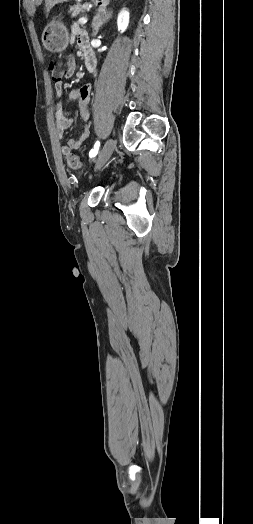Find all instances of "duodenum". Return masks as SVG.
I'll list each match as a JSON object with an SVG mask.
<instances>
[{"instance_id": "obj_1", "label": "duodenum", "mask_w": 253, "mask_h": 524, "mask_svg": "<svg viewBox=\"0 0 253 524\" xmlns=\"http://www.w3.org/2000/svg\"><path fill=\"white\" fill-rule=\"evenodd\" d=\"M88 69H89V70H90L91 72H93V71H94V68H93V66H90V65H88Z\"/></svg>"}]
</instances>
